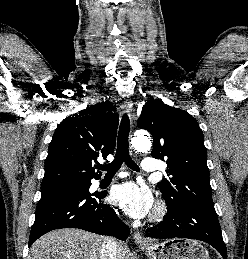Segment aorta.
I'll return each instance as SVG.
<instances>
[{"instance_id": "1", "label": "aorta", "mask_w": 248, "mask_h": 259, "mask_svg": "<svg viewBox=\"0 0 248 259\" xmlns=\"http://www.w3.org/2000/svg\"><path fill=\"white\" fill-rule=\"evenodd\" d=\"M132 146L138 151L149 150L151 148V141L145 134H136L132 139Z\"/></svg>"}]
</instances>
